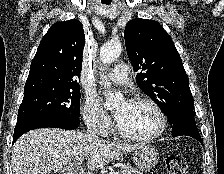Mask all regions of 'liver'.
Listing matches in <instances>:
<instances>
[{"label":"liver","instance_id":"liver-1","mask_svg":"<svg viewBox=\"0 0 224 174\" xmlns=\"http://www.w3.org/2000/svg\"><path fill=\"white\" fill-rule=\"evenodd\" d=\"M140 144L94 139L88 133L62 129H36L13 145V174H81L78 157H87L90 170L102 169L113 159L135 150Z\"/></svg>","mask_w":224,"mask_h":174}]
</instances>
